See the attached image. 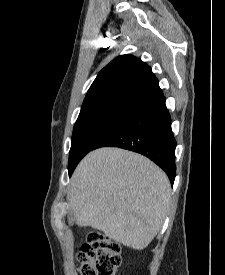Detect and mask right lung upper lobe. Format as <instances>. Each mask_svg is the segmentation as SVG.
<instances>
[{
	"mask_svg": "<svg viewBox=\"0 0 225 275\" xmlns=\"http://www.w3.org/2000/svg\"><path fill=\"white\" fill-rule=\"evenodd\" d=\"M162 99L151 68L130 54L121 55L99 72L77 120L101 113L128 115Z\"/></svg>",
	"mask_w": 225,
	"mask_h": 275,
	"instance_id": "1",
	"label": "right lung upper lobe"
}]
</instances>
